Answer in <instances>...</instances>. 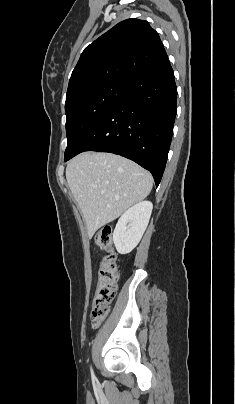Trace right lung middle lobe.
Listing matches in <instances>:
<instances>
[{"mask_svg": "<svg viewBox=\"0 0 235 404\" xmlns=\"http://www.w3.org/2000/svg\"><path fill=\"white\" fill-rule=\"evenodd\" d=\"M124 84L110 82L85 89L65 103L67 148L72 153L88 130L107 114L122 98Z\"/></svg>", "mask_w": 235, "mask_h": 404, "instance_id": "1", "label": "right lung middle lobe"}]
</instances>
